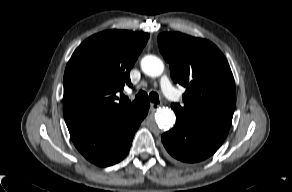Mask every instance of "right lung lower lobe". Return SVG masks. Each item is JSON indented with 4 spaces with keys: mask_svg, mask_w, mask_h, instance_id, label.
I'll return each instance as SVG.
<instances>
[{
    "mask_svg": "<svg viewBox=\"0 0 292 192\" xmlns=\"http://www.w3.org/2000/svg\"><path fill=\"white\" fill-rule=\"evenodd\" d=\"M150 107L139 105L134 112L120 115L106 122L74 124L67 126L76 148L90 162L110 166L127 155L134 134Z\"/></svg>",
    "mask_w": 292,
    "mask_h": 192,
    "instance_id": "obj_1",
    "label": "right lung lower lobe"
}]
</instances>
